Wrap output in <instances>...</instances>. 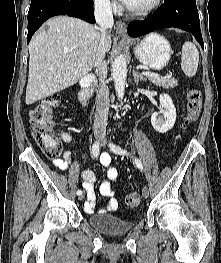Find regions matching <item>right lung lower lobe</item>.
<instances>
[{
  "label": "right lung lower lobe",
  "mask_w": 221,
  "mask_h": 263,
  "mask_svg": "<svg viewBox=\"0 0 221 263\" xmlns=\"http://www.w3.org/2000/svg\"><path fill=\"white\" fill-rule=\"evenodd\" d=\"M56 15H68L95 23L93 0H32L28 12V43L35 31Z\"/></svg>",
  "instance_id": "98d812e1"
}]
</instances>
